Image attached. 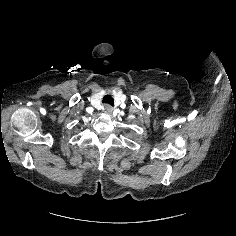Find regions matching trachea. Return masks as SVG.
Segmentation results:
<instances>
[{
    "label": "trachea",
    "instance_id": "trachea-1",
    "mask_svg": "<svg viewBox=\"0 0 236 236\" xmlns=\"http://www.w3.org/2000/svg\"><path fill=\"white\" fill-rule=\"evenodd\" d=\"M102 103L109 104V105L113 106L114 99H113V97L111 95H105L103 100H102Z\"/></svg>",
    "mask_w": 236,
    "mask_h": 236
}]
</instances>
